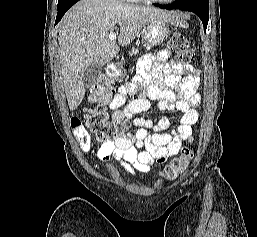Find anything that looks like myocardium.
Here are the masks:
<instances>
[{"instance_id":"f54148a6","label":"myocardium","mask_w":257,"mask_h":237,"mask_svg":"<svg viewBox=\"0 0 257 237\" xmlns=\"http://www.w3.org/2000/svg\"><path fill=\"white\" fill-rule=\"evenodd\" d=\"M151 1L153 3H159V4H169L174 2L175 0H148Z\"/></svg>"}]
</instances>
